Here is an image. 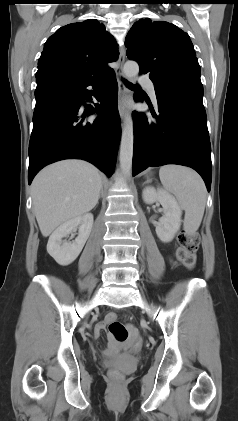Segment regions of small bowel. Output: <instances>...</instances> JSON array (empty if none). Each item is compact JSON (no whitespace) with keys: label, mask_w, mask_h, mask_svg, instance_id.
I'll list each match as a JSON object with an SVG mask.
<instances>
[{"label":"small bowel","mask_w":238,"mask_h":421,"mask_svg":"<svg viewBox=\"0 0 238 421\" xmlns=\"http://www.w3.org/2000/svg\"><path fill=\"white\" fill-rule=\"evenodd\" d=\"M112 315H114V314L111 313V314L107 315V317L105 318L104 321L99 322L96 325V327H95V335L96 336H99L100 335V333L102 332V330L106 327L107 321H108L109 317L112 316ZM130 329H131L132 336L135 337L136 336V329L133 328V327H131Z\"/></svg>","instance_id":"obj_1"}]
</instances>
